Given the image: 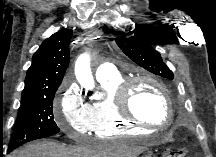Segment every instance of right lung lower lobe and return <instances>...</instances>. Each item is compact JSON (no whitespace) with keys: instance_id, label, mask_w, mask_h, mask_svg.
I'll return each mask as SVG.
<instances>
[{"instance_id":"right-lung-lower-lobe-1","label":"right lung lower lobe","mask_w":216,"mask_h":157,"mask_svg":"<svg viewBox=\"0 0 216 157\" xmlns=\"http://www.w3.org/2000/svg\"><path fill=\"white\" fill-rule=\"evenodd\" d=\"M13 149H14V148H9V149H8V153L11 152Z\"/></svg>"}]
</instances>
